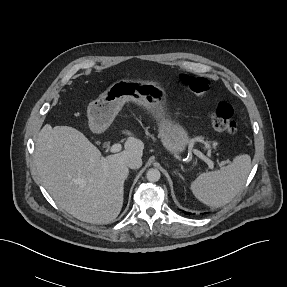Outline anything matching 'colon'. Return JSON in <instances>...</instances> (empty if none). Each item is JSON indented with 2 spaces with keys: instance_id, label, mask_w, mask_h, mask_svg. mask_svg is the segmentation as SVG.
Masks as SVG:
<instances>
[{
  "instance_id": "obj_1",
  "label": "colon",
  "mask_w": 287,
  "mask_h": 287,
  "mask_svg": "<svg viewBox=\"0 0 287 287\" xmlns=\"http://www.w3.org/2000/svg\"><path fill=\"white\" fill-rule=\"evenodd\" d=\"M179 82L200 98H206L210 93L207 78L202 76L179 75ZM233 110L228 104H220L210 112V120L215 130L234 134L237 125L232 120Z\"/></svg>"
}]
</instances>
